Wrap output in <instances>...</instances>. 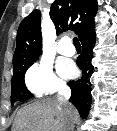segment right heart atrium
Masks as SVG:
<instances>
[{"label": "right heart atrium", "instance_id": "right-heart-atrium-1", "mask_svg": "<svg viewBox=\"0 0 117 131\" xmlns=\"http://www.w3.org/2000/svg\"><path fill=\"white\" fill-rule=\"evenodd\" d=\"M25 83L30 92L36 96L55 93L65 86L55 75L51 65L46 62L33 64L26 72Z\"/></svg>", "mask_w": 117, "mask_h": 131}]
</instances>
